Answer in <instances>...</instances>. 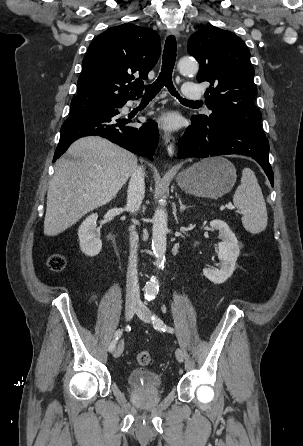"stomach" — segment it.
<instances>
[{
	"mask_svg": "<svg viewBox=\"0 0 303 446\" xmlns=\"http://www.w3.org/2000/svg\"><path fill=\"white\" fill-rule=\"evenodd\" d=\"M236 178V168L230 161L224 157H212L181 171L176 181L188 194L217 199L232 189Z\"/></svg>",
	"mask_w": 303,
	"mask_h": 446,
	"instance_id": "obj_1",
	"label": "stomach"
}]
</instances>
